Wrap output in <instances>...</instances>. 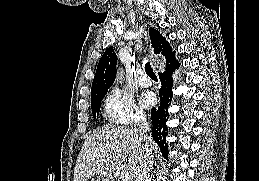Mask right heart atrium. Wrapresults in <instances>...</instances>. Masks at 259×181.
<instances>
[{
    "label": "right heart atrium",
    "mask_w": 259,
    "mask_h": 181,
    "mask_svg": "<svg viewBox=\"0 0 259 181\" xmlns=\"http://www.w3.org/2000/svg\"><path fill=\"white\" fill-rule=\"evenodd\" d=\"M103 115L108 124L120 128L136 125L145 119L133 97L118 88L112 89L103 100Z\"/></svg>",
    "instance_id": "right-heart-atrium-1"
}]
</instances>
